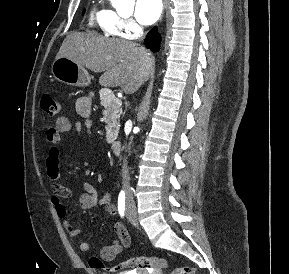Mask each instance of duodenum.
<instances>
[{
    "instance_id": "obj_1",
    "label": "duodenum",
    "mask_w": 289,
    "mask_h": 274,
    "mask_svg": "<svg viewBox=\"0 0 289 274\" xmlns=\"http://www.w3.org/2000/svg\"><path fill=\"white\" fill-rule=\"evenodd\" d=\"M121 142L120 141H113L111 143V149L114 152V154H119L121 152Z\"/></svg>"
}]
</instances>
